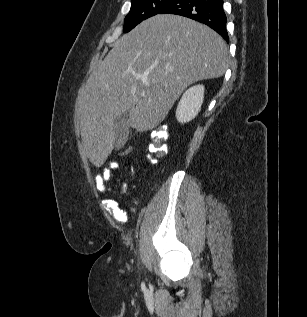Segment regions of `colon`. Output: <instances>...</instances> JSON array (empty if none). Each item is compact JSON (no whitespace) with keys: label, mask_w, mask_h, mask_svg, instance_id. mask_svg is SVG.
I'll return each instance as SVG.
<instances>
[{"label":"colon","mask_w":307,"mask_h":317,"mask_svg":"<svg viewBox=\"0 0 307 317\" xmlns=\"http://www.w3.org/2000/svg\"><path fill=\"white\" fill-rule=\"evenodd\" d=\"M169 136L168 126L164 123L159 124L151 134V143L148 148V157L156 162L158 158L164 156L167 153V139ZM132 150V147L128 146L122 150L123 154H128Z\"/></svg>","instance_id":"5ec220e1"}]
</instances>
